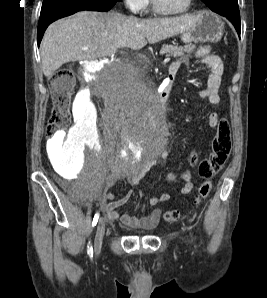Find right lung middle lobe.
Masks as SVG:
<instances>
[{
    "mask_svg": "<svg viewBox=\"0 0 267 298\" xmlns=\"http://www.w3.org/2000/svg\"><path fill=\"white\" fill-rule=\"evenodd\" d=\"M48 1H50V0H44L43 3L48 2ZM117 1H121V0H117Z\"/></svg>",
    "mask_w": 267,
    "mask_h": 298,
    "instance_id": "right-lung-middle-lobe-1",
    "label": "right lung middle lobe"
}]
</instances>
